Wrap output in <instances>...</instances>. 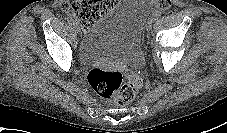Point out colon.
<instances>
[{
    "label": "colon",
    "mask_w": 227,
    "mask_h": 133,
    "mask_svg": "<svg viewBox=\"0 0 227 133\" xmlns=\"http://www.w3.org/2000/svg\"><path fill=\"white\" fill-rule=\"evenodd\" d=\"M117 0H62L61 8L72 13L84 26L95 23ZM161 9L171 5L170 0H156ZM88 82L95 92L105 99H112L120 106L129 104L140 91L143 80L136 71L123 75L118 71L92 69Z\"/></svg>",
    "instance_id": "5ec220e1"
}]
</instances>
